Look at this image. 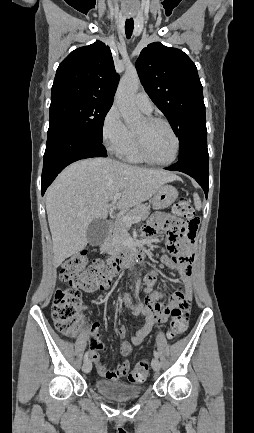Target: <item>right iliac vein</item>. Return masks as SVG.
<instances>
[{
	"mask_svg": "<svg viewBox=\"0 0 254 433\" xmlns=\"http://www.w3.org/2000/svg\"><path fill=\"white\" fill-rule=\"evenodd\" d=\"M92 368V363L90 360H87L84 362L82 370L84 373H89L91 371Z\"/></svg>",
	"mask_w": 254,
	"mask_h": 433,
	"instance_id": "63e3f726",
	"label": "right iliac vein"
}]
</instances>
